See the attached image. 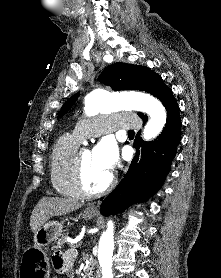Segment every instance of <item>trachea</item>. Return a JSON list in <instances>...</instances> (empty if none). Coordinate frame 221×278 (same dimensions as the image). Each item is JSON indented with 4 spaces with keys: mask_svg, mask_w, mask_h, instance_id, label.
Returning <instances> with one entry per match:
<instances>
[{
    "mask_svg": "<svg viewBox=\"0 0 221 278\" xmlns=\"http://www.w3.org/2000/svg\"><path fill=\"white\" fill-rule=\"evenodd\" d=\"M128 133L129 134H134V131L133 130H129Z\"/></svg>",
    "mask_w": 221,
    "mask_h": 278,
    "instance_id": "obj_1",
    "label": "trachea"
}]
</instances>
